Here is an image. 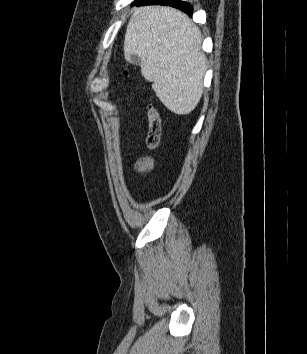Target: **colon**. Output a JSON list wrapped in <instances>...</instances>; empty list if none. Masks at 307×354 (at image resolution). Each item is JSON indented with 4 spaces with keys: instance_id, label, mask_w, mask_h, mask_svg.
Segmentation results:
<instances>
[{
    "instance_id": "1",
    "label": "colon",
    "mask_w": 307,
    "mask_h": 354,
    "mask_svg": "<svg viewBox=\"0 0 307 354\" xmlns=\"http://www.w3.org/2000/svg\"><path fill=\"white\" fill-rule=\"evenodd\" d=\"M124 74L127 75V71H124ZM148 118L149 130L147 133L146 142L149 148H155L160 140L161 118L157 109L154 108L152 105L149 106ZM151 166L152 160L150 157H143L137 162V170L140 173L148 172Z\"/></svg>"
}]
</instances>
